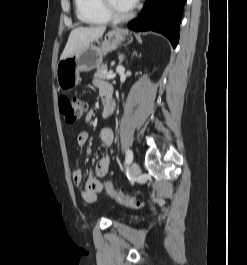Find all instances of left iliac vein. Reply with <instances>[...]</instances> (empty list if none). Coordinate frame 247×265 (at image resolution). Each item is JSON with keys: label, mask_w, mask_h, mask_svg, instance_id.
I'll use <instances>...</instances> for the list:
<instances>
[{"label": "left iliac vein", "mask_w": 247, "mask_h": 265, "mask_svg": "<svg viewBox=\"0 0 247 265\" xmlns=\"http://www.w3.org/2000/svg\"><path fill=\"white\" fill-rule=\"evenodd\" d=\"M140 173V167L136 162H133L130 166V175L134 179Z\"/></svg>", "instance_id": "4c4485c4"}]
</instances>
